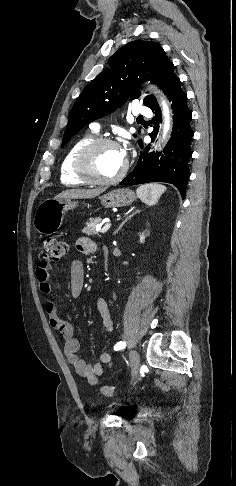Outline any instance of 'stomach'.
I'll list each match as a JSON object with an SVG mask.
<instances>
[{
  "label": "stomach",
  "instance_id": "1",
  "mask_svg": "<svg viewBox=\"0 0 236 486\" xmlns=\"http://www.w3.org/2000/svg\"><path fill=\"white\" fill-rule=\"evenodd\" d=\"M136 199L135 193L128 188L115 189L100 197L106 208L131 205ZM78 206V202L70 199H46L41 202L35 212L33 225L37 232L44 235L55 233L61 226L67 211Z\"/></svg>",
  "mask_w": 236,
  "mask_h": 486
}]
</instances>
